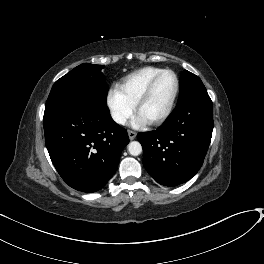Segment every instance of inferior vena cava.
Here are the masks:
<instances>
[{"mask_svg":"<svg viewBox=\"0 0 264 264\" xmlns=\"http://www.w3.org/2000/svg\"><path fill=\"white\" fill-rule=\"evenodd\" d=\"M112 118L115 122L119 123V124H125L126 122V117L120 113H112Z\"/></svg>","mask_w":264,"mask_h":264,"instance_id":"obj_1","label":"inferior vena cava"}]
</instances>
